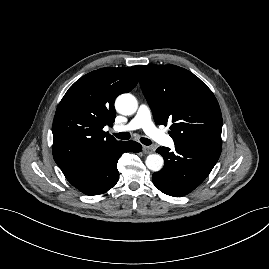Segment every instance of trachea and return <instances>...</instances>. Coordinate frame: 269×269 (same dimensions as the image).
<instances>
[{
  "instance_id": "3493384b",
  "label": "trachea",
  "mask_w": 269,
  "mask_h": 269,
  "mask_svg": "<svg viewBox=\"0 0 269 269\" xmlns=\"http://www.w3.org/2000/svg\"><path fill=\"white\" fill-rule=\"evenodd\" d=\"M116 138L121 139V140H128L130 139V133L128 132H120V133H116L114 134ZM140 141L144 144V145H151V140H149L148 138H140Z\"/></svg>"
}]
</instances>
